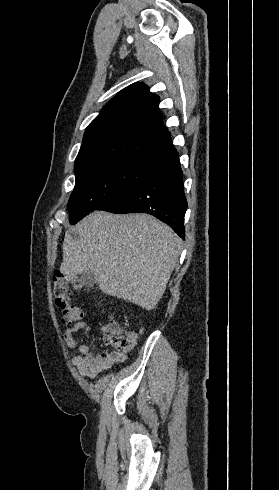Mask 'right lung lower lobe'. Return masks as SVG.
<instances>
[{"mask_svg":"<svg viewBox=\"0 0 279 490\" xmlns=\"http://www.w3.org/2000/svg\"><path fill=\"white\" fill-rule=\"evenodd\" d=\"M155 164L147 176L113 192L96 210L112 213H148L168 224L184 239L183 223L187 200L179 154L175 149Z\"/></svg>","mask_w":279,"mask_h":490,"instance_id":"right-lung-lower-lobe-1","label":"right lung lower lobe"}]
</instances>
